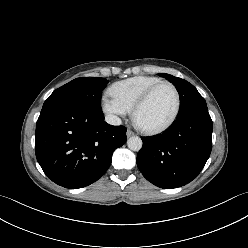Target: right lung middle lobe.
Wrapping results in <instances>:
<instances>
[{
    "instance_id": "right-lung-middle-lobe-1",
    "label": "right lung middle lobe",
    "mask_w": 248,
    "mask_h": 248,
    "mask_svg": "<svg viewBox=\"0 0 248 248\" xmlns=\"http://www.w3.org/2000/svg\"><path fill=\"white\" fill-rule=\"evenodd\" d=\"M107 83L106 79L99 77L74 79L56 89L43 106L59 102H72L101 112V93Z\"/></svg>"
}]
</instances>
